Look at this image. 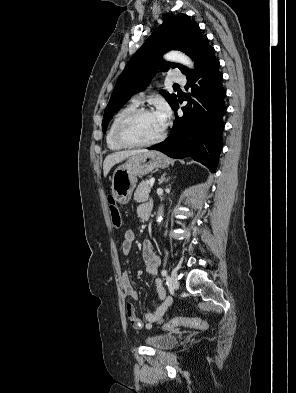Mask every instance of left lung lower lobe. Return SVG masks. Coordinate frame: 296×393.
<instances>
[{
  "label": "left lung lower lobe",
  "mask_w": 296,
  "mask_h": 393,
  "mask_svg": "<svg viewBox=\"0 0 296 393\" xmlns=\"http://www.w3.org/2000/svg\"><path fill=\"white\" fill-rule=\"evenodd\" d=\"M196 73L198 75H196ZM199 81L200 87L194 85ZM223 76L219 72V61L212 50L199 65L197 71L187 76L191 94L201 103L192 109L190 94L185 98L188 104L182 108L183 117H178V103L173 109L175 121L170 136L162 143L148 149H155L173 158L192 157L214 172L222 149L223 115L226 112L222 86Z\"/></svg>",
  "instance_id": "left-lung-lower-lobe-1"
}]
</instances>
